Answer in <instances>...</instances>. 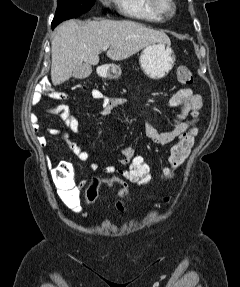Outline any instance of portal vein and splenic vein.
I'll return each mask as SVG.
<instances>
[{
	"mask_svg": "<svg viewBox=\"0 0 240 287\" xmlns=\"http://www.w3.org/2000/svg\"><path fill=\"white\" fill-rule=\"evenodd\" d=\"M103 51H106L107 49H108V46L106 45V46H103Z\"/></svg>",
	"mask_w": 240,
	"mask_h": 287,
	"instance_id": "18ae733b",
	"label": "portal vein and splenic vein"
}]
</instances>
